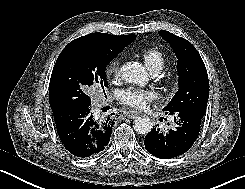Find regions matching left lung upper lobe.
<instances>
[{
  "label": "left lung upper lobe",
  "instance_id": "1",
  "mask_svg": "<svg viewBox=\"0 0 245 189\" xmlns=\"http://www.w3.org/2000/svg\"><path fill=\"white\" fill-rule=\"evenodd\" d=\"M158 33L170 44L178 58L179 89L163 110L169 112L188 110L203 117L209 98V80L202 58L186 39L164 30Z\"/></svg>",
  "mask_w": 245,
  "mask_h": 189
}]
</instances>
